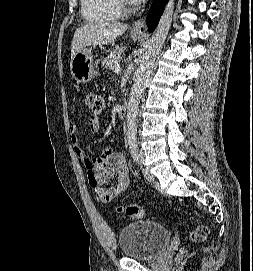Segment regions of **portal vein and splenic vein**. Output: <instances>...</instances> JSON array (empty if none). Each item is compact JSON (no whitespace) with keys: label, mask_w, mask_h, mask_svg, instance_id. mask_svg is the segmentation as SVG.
Returning a JSON list of instances; mask_svg holds the SVG:
<instances>
[{"label":"portal vein and splenic vein","mask_w":253,"mask_h":271,"mask_svg":"<svg viewBox=\"0 0 253 271\" xmlns=\"http://www.w3.org/2000/svg\"><path fill=\"white\" fill-rule=\"evenodd\" d=\"M114 72L115 73H119V72H121V67H120V65H116V66H114Z\"/></svg>","instance_id":"1"}]
</instances>
